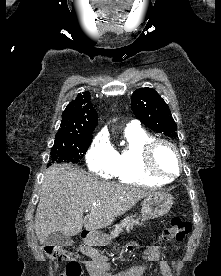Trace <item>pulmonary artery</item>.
<instances>
[{
	"label": "pulmonary artery",
	"instance_id": "e3ab8cb5",
	"mask_svg": "<svg viewBox=\"0 0 221 276\" xmlns=\"http://www.w3.org/2000/svg\"><path fill=\"white\" fill-rule=\"evenodd\" d=\"M127 127H139V124L137 121H132L131 123L128 124Z\"/></svg>",
	"mask_w": 221,
	"mask_h": 276
}]
</instances>
